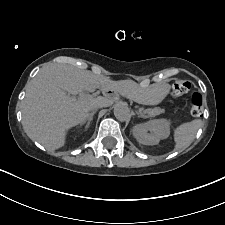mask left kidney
I'll list each match as a JSON object with an SVG mask.
<instances>
[{
    "label": "left kidney",
    "instance_id": "1",
    "mask_svg": "<svg viewBox=\"0 0 225 225\" xmlns=\"http://www.w3.org/2000/svg\"><path fill=\"white\" fill-rule=\"evenodd\" d=\"M133 135L140 144L157 145L170 134V122L166 119H155L133 127Z\"/></svg>",
    "mask_w": 225,
    "mask_h": 225
}]
</instances>
